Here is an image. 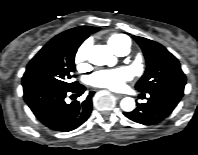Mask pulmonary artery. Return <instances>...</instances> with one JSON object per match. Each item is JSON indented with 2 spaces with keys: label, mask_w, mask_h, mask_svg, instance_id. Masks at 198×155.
<instances>
[{
  "label": "pulmonary artery",
  "mask_w": 198,
  "mask_h": 155,
  "mask_svg": "<svg viewBox=\"0 0 198 155\" xmlns=\"http://www.w3.org/2000/svg\"><path fill=\"white\" fill-rule=\"evenodd\" d=\"M129 52V48H125L124 50H122L119 55L123 56L126 55Z\"/></svg>",
  "instance_id": "pulmonary-artery-1"
}]
</instances>
